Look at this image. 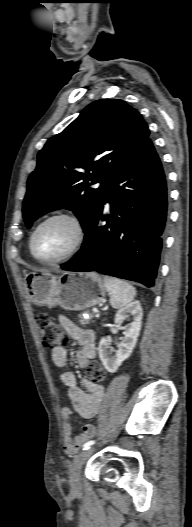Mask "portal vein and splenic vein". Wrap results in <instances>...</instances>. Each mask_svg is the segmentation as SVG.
<instances>
[{"label": "portal vein and splenic vein", "mask_w": 192, "mask_h": 527, "mask_svg": "<svg viewBox=\"0 0 192 527\" xmlns=\"http://www.w3.org/2000/svg\"><path fill=\"white\" fill-rule=\"evenodd\" d=\"M93 313H98V309H93Z\"/></svg>", "instance_id": "obj_1"}]
</instances>
